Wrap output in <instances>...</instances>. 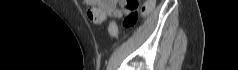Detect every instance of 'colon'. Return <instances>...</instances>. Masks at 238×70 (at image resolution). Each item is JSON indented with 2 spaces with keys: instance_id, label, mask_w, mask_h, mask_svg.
I'll return each mask as SVG.
<instances>
[{
  "instance_id": "1",
  "label": "colon",
  "mask_w": 238,
  "mask_h": 70,
  "mask_svg": "<svg viewBox=\"0 0 238 70\" xmlns=\"http://www.w3.org/2000/svg\"><path fill=\"white\" fill-rule=\"evenodd\" d=\"M125 6L130 12L124 20V26L127 29H131L137 24L140 14H147L152 10L154 1H147L143 7H140V3L137 0H125ZM119 29L120 21H109L107 32H109L111 36L116 37Z\"/></svg>"
}]
</instances>
